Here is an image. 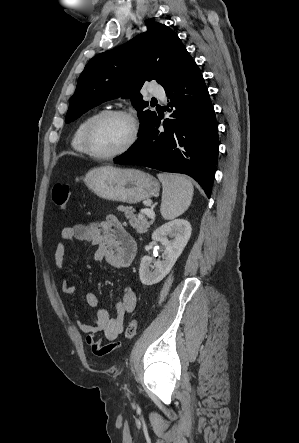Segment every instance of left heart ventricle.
<instances>
[{
    "instance_id": "b2bd125f",
    "label": "left heart ventricle",
    "mask_w": 299,
    "mask_h": 443,
    "mask_svg": "<svg viewBox=\"0 0 299 443\" xmlns=\"http://www.w3.org/2000/svg\"><path fill=\"white\" fill-rule=\"evenodd\" d=\"M131 134L130 122L119 116H107L99 120L91 133V145L95 152L108 154L122 148Z\"/></svg>"
}]
</instances>
